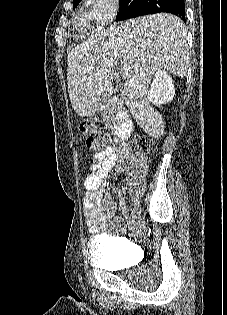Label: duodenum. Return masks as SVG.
Returning a JSON list of instances; mask_svg holds the SVG:
<instances>
[{
    "instance_id": "1",
    "label": "duodenum",
    "mask_w": 227,
    "mask_h": 315,
    "mask_svg": "<svg viewBox=\"0 0 227 315\" xmlns=\"http://www.w3.org/2000/svg\"><path fill=\"white\" fill-rule=\"evenodd\" d=\"M114 130L120 141H125L130 136L132 124L129 113L114 104Z\"/></svg>"
}]
</instances>
